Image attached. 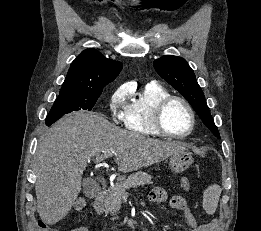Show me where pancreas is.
Returning <instances> with one entry per match:
<instances>
[{
    "mask_svg": "<svg viewBox=\"0 0 261 231\" xmlns=\"http://www.w3.org/2000/svg\"><path fill=\"white\" fill-rule=\"evenodd\" d=\"M152 182V176L144 171H138L128 178L124 176L119 177L118 183L108 189V195L105 200V212L110 215H115L119 212L122 199L127 195V190L131 188H136L140 185L150 184ZM118 217L112 218L116 220Z\"/></svg>",
    "mask_w": 261,
    "mask_h": 231,
    "instance_id": "cf45deb5",
    "label": "pancreas"
}]
</instances>
